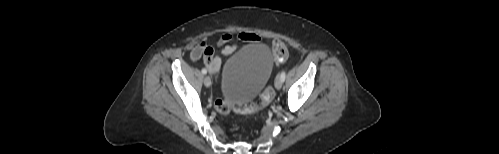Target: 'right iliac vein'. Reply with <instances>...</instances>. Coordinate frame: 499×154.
<instances>
[{
    "label": "right iliac vein",
    "mask_w": 499,
    "mask_h": 154,
    "mask_svg": "<svg viewBox=\"0 0 499 154\" xmlns=\"http://www.w3.org/2000/svg\"><path fill=\"white\" fill-rule=\"evenodd\" d=\"M204 85L206 87H210L211 86V78L209 75H206L205 78H204Z\"/></svg>",
    "instance_id": "63e3f726"
}]
</instances>
